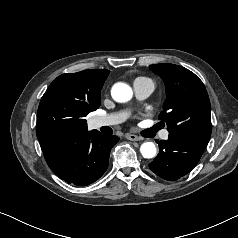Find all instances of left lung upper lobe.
I'll return each mask as SVG.
<instances>
[{
    "label": "left lung upper lobe",
    "mask_w": 238,
    "mask_h": 238,
    "mask_svg": "<svg viewBox=\"0 0 238 238\" xmlns=\"http://www.w3.org/2000/svg\"><path fill=\"white\" fill-rule=\"evenodd\" d=\"M166 86L159 120L169 133L208 143L211 136L210 100L202 81L190 70L174 64L150 65Z\"/></svg>",
    "instance_id": "left-lung-upper-lobe-1"
}]
</instances>
